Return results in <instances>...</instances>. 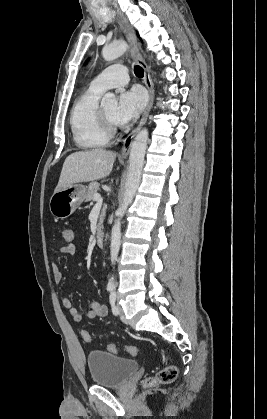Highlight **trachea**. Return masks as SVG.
<instances>
[{
  "label": "trachea",
  "instance_id": "trachea-1",
  "mask_svg": "<svg viewBox=\"0 0 267 419\" xmlns=\"http://www.w3.org/2000/svg\"><path fill=\"white\" fill-rule=\"evenodd\" d=\"M134 73L137 77L142 78L144 75L143 68L139 65L134 66Z\"/></svg>",
  "mask_w": 267,
  "mask_h": 419
}]
</instances>
